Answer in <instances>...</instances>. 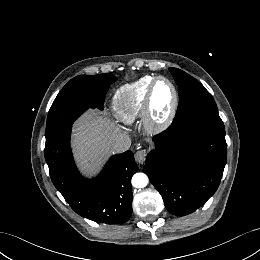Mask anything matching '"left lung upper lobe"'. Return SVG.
Segmentation results:
<instances>
[{"mask_svg":"<svg viewBox=\"0 0 260 260\" xmlns=\"http://www.w3.org/2000/svg\"><path fill=\"white\" fill-rule=\"evenodd\" d=\"M179 86V104L173 122H178L196 111L218 110L211 94L189 74L177 68H170Z\"/></svg>","mask_w":260,"mask_h":260,"instance_id":"obj_1","label":"left lung upper lobe"}]
</instances>
